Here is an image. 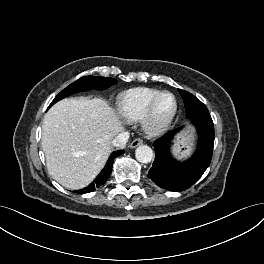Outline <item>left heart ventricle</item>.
Here are the masks:
<instances>
[{
	"instance_id": "obj_1",
	"label": "left heart ventricle",
	"mask_w": 264,
	"mask_h": 264,
	"mask_svg": "<svg viewBox=\"0 0 264 264\" xmlns=\"http://www.w3.org/2000/svg\"><path fill=\"white\" fill-rule=\"evenodd\" d=\"M174 108V101L171 96H165L157 106L156 116L158 119L166 118Z\"/></svg>"
}]
</instances>
